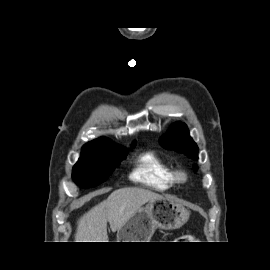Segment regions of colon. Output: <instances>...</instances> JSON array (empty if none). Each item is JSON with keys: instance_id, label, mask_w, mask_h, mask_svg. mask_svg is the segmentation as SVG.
Instances as JSON below:
<instances>
[{"instance_id": "1", "label": "colon", "mask_w": 270, "mask_h": 270, "mask_svg": "<svg viewBox=\"0 0 270 270\" xmlns=\"http://www.w3.org/2000/svg\"><path fill=\"white\" fill-rule=\"evenodd\" d=\"M189 236H181L180 239H188Z\"/></svg>"}]
</instances>
